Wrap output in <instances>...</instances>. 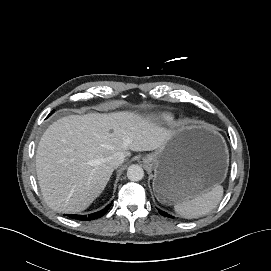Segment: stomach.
Here are the masks:
<instances>
[{
  "instance_id": "1",
  "label": "stomach",
  "mask_w": 271,
  "mask_h": 271,
  "mask_svg": "<svg viewBox=\"0 0 271 271\" xmlns=\"http://www.w3.org/2000/svg\"><path fill=\"white\" fill-rule=\"evenodd\" d=\"M154 171L153 191L166 205L191 199L224 181L229 154L224 138L205 124H184L144 158Z\"/></svg>"
}]
</instances>
